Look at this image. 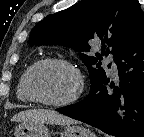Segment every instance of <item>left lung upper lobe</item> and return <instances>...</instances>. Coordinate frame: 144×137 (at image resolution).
<instances>
[{
    "label": "left lung upper lobe",
    "instance_id": "5c2ea615",
    "mask_svg": "<svg viewBox=\"0 0 144 137\" xmlns=\"http://www.w3.org/2000/svg\"><path fill=\"white\" fill-rule=\"evenodd\" d=\"M143 24L144 12L137 0H81L38 22L30 34L29 43L58 44L88 52V42L100 40L101 54L97 53L96 57L79 54L88 66L93 89L106 78L105 70L97 63L98 59H102L106 46L115 58L137 36ZM109 48L107 53H110Z\"/></svg>",
    "mask_w": 144,
    "mask_h": 137
}]
</instances>
